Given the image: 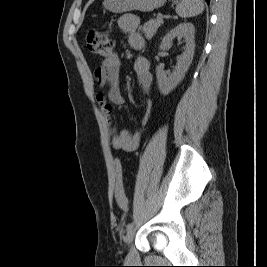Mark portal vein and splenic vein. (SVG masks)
Returning a JSON list of instances; mask_svg holds the SVG:
<instances>
[{"label":"portal vein and splenic vein","mask_w":267,"mask_h":267,"mask_svg":"<svg viewBox=\"0 0 267 267\" xmlns=\"http://www.w3.org/2000/svg\"><path fill=\"white\" fill-rule=\"evenodd\" d=\"M163 14H159L158 16H157V19H163Z\"/></svg>","instance_id":"1"}]
</instances>
